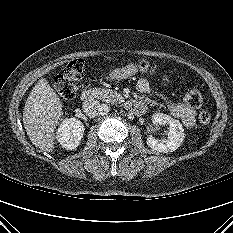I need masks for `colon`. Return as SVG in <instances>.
<instances>
[{
    "label": "colon",
    "instance_id": "colon-1",
    "mask_svg": "<svg viewBox=\"0 0 233 233\" xmlns=\"http://www.w3.org/2000/svg\"><path fill=\"white\" fill-rule=\"evenodd\" d=\"M84 72V61L82 59H74L70 61L63 72L54 79L53 86L58 94L64 99L74 98ZM185 102L193 107L199 108L203 104V95L199 89H190L184 98ZM211 120V114L202 110L199 114L200 123L206 125Z\"/></svg>",
    "mask_w": 233,
    "mask_h": 233
}]
</instances>
